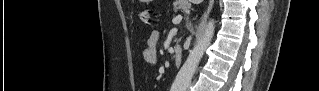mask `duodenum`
Returning <instances> with one entry per match:
<instances>
[{
  "instance_id": "410a0bca",
  "label": "duodenum",
  "mask_w": 319,
  "mask_h": 91,
  "mask_svg": "<svg viewBox=\"0 0 319 91\" xmlns=\"http://www.w3.org/2000/svg\"><path fill=\"white\" fill-rule=\"evenodd\" d=\"M182 55H183V53H182L181 47L177 46V45L174 46L173 47V56L175 58V63L177 65H179L182 62Z\"/></svg>"
}]
</instances>
